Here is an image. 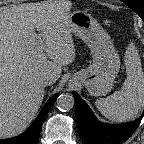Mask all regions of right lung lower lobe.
Returning a JSON list of instances; mask_svg holds the SVG:
<instances>
[{
  "label": "right lung lower lobe",
  "instance_id": "98d812e1",
  "mask_svg": "<svg viewBox=\"0 0 144 144\" xmlns=\"http://www.w3.org/2000/svg\"><path fill=\"white\" fill-rule=\"evenodd\" d=\"M56 98L57 95L48 100V102L44 105L41 112L39 113L33 124L27 129V131L14 138L1 139L0 144H37L43 121L51 106L54 104Z\"/></svg>",
  "mask_w": 144,
  "mask_h": 144
}]
</instances>
